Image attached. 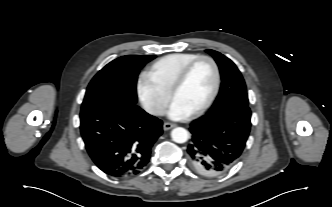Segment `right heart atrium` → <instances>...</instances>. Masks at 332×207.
Instances as JSON below:
<instances>
[{
  "label": "right heart atrium",
  "mask_w": 332,
  "mask_h": 207,
  "mask_svg": "<svg viewBox=\"0 0 332 207\" xmlns=\"http://www.w3.org/2000/svg\"><path fill=\"white\" fill-rule=\"evenodd\" d=\"M137 91L145 110L149 114L160 116L164 113L170 100L169 92L159 87L146 74L139 77Z\"/></svg>",
  "instance_id": "1"
}]
</instances>
